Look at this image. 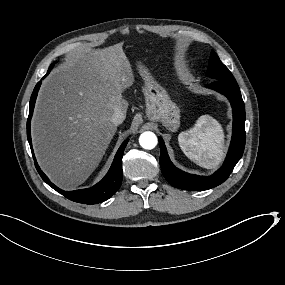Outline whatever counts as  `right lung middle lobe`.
<instances>
[{"label": "right lung middle lobe", "mask_w": 285, "mask_h": 285, "mask_svg": "<svg viewBox=\"0 0 285 285\" xmlns=\"http://www.w3.org/2000/svg\"><path fill=\"white\" fill-rule=\"evenodd\" d=\"M56 62H54L53 64H51V66L49 67V69H52V67L54 66Z\"/></svg>", "instance_id": "dd1d6c3e"}]
</instances>
